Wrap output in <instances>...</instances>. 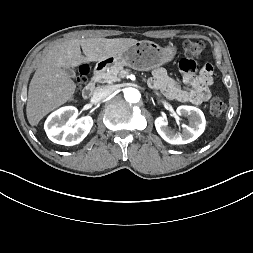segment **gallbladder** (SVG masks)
Returning a JSON list of instances; mask_svg holds the SVG:
<instances>
[{"instance_id":"1","label":"gallbladder","mask_w":253,"mask_h":253,"mask_svg":"<svg viewBox=\"0 0 253 253\" xmlns=\"http://www.w3.org/2000/svg\"><path fill=\"white\" fill-rule=\"evenodd\" d=\"M64 71L70 76L75 77V72L71 68H64Z\"/></svg>"}]
</instances>
